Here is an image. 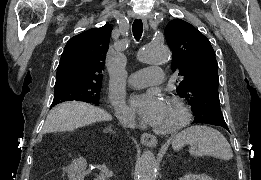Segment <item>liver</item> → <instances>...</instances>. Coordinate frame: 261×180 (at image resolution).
<instances>
[{"instance_id": "liver-1", "label": "liver", "mask_w": 261, "mask_h": 180, "mask_svg": "<svg viewBox=\"0 0 261 180\" xmlns=\"http://www.w3.org/2000/svg\"><path fill=\"white\" fill-rule=\"evenodd\" d=\"M52 114L54 116V120H51L53 132H64V130L72 132L76 128H82V126H88L94 122L111 120V116L105 110L91 106V104H84V102L59 104L57 108H53ZM45 126L49 132V120H46Z\"/></svg>"}]
</instances>
